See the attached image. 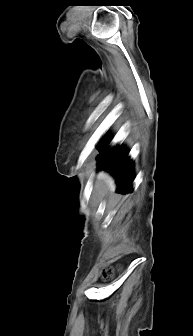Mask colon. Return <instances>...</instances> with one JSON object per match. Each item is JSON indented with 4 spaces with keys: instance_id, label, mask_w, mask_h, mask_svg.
<instances>
[{
    "instance_id": "obj_1",
    "label": "colon",
    "mask_w": 193,
    "mask_h": 336,
    "mask_svg": "<svg viewBox=\"0 0 193 336\" xmlns=\"http://www.w3.org/2000/svg\"><path fill=\"white\" fill-rule=\"evenodd\" d=\"M113 275H114V269L112 267H107V268L104 269L103 277L105 279H110V278L113 277Z\"/></svg>"
}]
</instances>
